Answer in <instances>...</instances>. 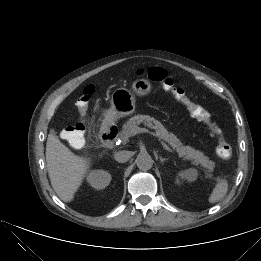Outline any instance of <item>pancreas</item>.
<instances>
[{"instance_id": "pancreas-1", "label": "pancreas", "mask_w": 261, "mask_h": 261, "mask_svg": "<svg viewBox=\"0 0 261 261\" xmlns=\"http://www.w3.org/2000/svg\"><path fill=\"white\" fill-rule=\"evenodd\" d=\"M145 123L149 128L155 129L156 134L167 142L181 157L186 160H192L193 163L202 166L206 169L207 177H212V172L215 168V162L210 160L203 152L195 150L190 146H184L182 142L157 120L148 115H135L131 117L122 127L121 138L128 141L131 136V130L138 127L140 123Z\"/></svg>"}]
</instances>
